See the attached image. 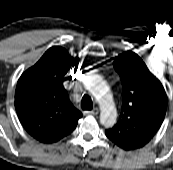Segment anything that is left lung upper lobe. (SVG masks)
Here are the masks:
<instances>
[{"label": "left lung upper lobe", "instance_id": "left-lung-upper-lobe-1", "mask_svg": "<svg viewBox=\"0 0 173 170\" xmlns=\"http://www.w3.org/2000/svg\"><path fill=\"white\" fill-rule=\"evenodd\" d=\"M123 86L122 109L117 124L105 130L106 136L124 150L146 145L160 128L167 108V95L161 82L132 51L113 62Z\"/></svg>", "mask_w": 173, "mask_h": 170}]
</instances>
